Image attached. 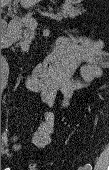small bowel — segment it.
Instances as JSON below:
<instances>
[{
  "label": "small bowel",
  "instance_id": "obj_1",
  "mask_svg": "<svg viewBox=\"0 0 109 170\" xmlns=\"http://www.w3.org/2000/svg\"><path fill=\"white\" fill-rule=\"evenodd\" d=\"M78 42L82 46L90 47V48H96L99 46L98 42H93V41H89L86 39H79ZM95 77H96V74H95L94 68L87 70V72H86V80L87 81H91ZM43 97L46 102H49L52 98V94L49 91H45L43 93ZM53 127H54V115L51 112H47L44 115V119H43L42 123L40 124L37 132L34 135L33 143L37 147H40V148L45 147L50 141Z\"/></svg>",
  "mask_w": 109,
  "mask_h": 170
}]
</instances>
